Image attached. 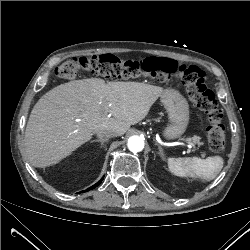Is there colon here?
I'll return each instance as SVG.
<instances>
[{"label": "colon", "mask_w": 250, "mask_h": 250, "mask_svg": "<svg viewBox=\"0 0 250 250\" xmlns=\"http://www.w3.org/2000/svg\"><path fill=\"white\" fill-rule=\"evenodd\" d=\"M81 73L110 79H127L141 76L167 82L179 79L193 104L207 117L206 138L210 149L221 152L225 147L226 130L222 123V110L213 92L207 87L205 73L197 65L179 64L171 59L144 58L120 59L112 54L72 58L62 63L56 74L64 80H72Z\"/></svg>", "instance_id": "colon-1"}]
</instances>
